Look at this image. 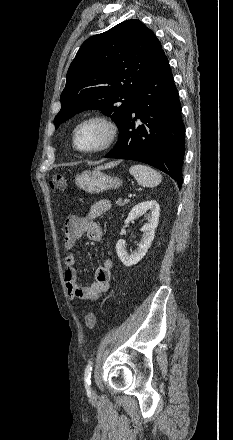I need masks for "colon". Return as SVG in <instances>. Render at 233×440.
<instances>
[{
    "mask_svg": "<svg viewBox=\"0 0 233 440\" xmlns=\"http://www.w3.org/2000/svg\"><path fill=\"white\" fill-rule=\"evenodd\" d=\"M49 185L53 191H62L65 186L64 177L60 174L53 175L49 181ZM97 318L93 312L85 317V325L88 329H93L96 325Z\"/></svg>",
    "mask_w": 233,
    "mask_h": 440,
    "instance_id": "5ec220e1",
    "label": "colon"
}]
</instances>
